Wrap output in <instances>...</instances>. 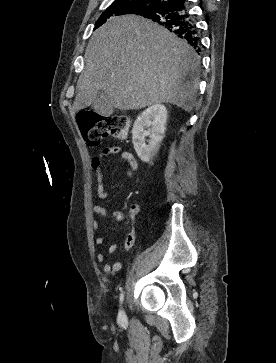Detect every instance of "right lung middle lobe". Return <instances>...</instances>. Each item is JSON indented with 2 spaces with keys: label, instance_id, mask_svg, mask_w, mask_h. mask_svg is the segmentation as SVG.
<instances>
[{
  "label": "right lung middle lobe",
  "instance_id": "1",
  "mask_svg": "<svg viewBox=\"0 0 276 363\" xmlns=\"http://www.w3.org/2000/svg\"><path fill=\"white\" fill-rule=\"evenodd\" d=\"M156 0H115L99 17L95 23V29L104 24L109 18L124 14H135L143 11Z\"/></svg>",
  "mask_w": 276,
  "mask_h": 363
}]
</instances>
